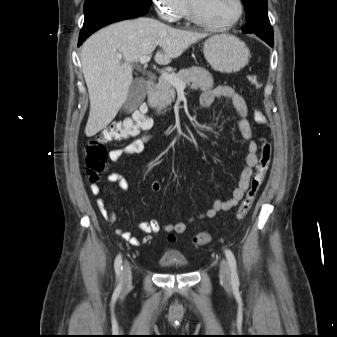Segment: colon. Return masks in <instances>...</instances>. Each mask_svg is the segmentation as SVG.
Here are the masks:
<instances>
[{
  "label": "colon",
  "mask_w": 337,
  "mask_h": 337,
  "mask_svg": "<svg viewBox=\"0 0 337 337\" xmlns=\"http://www.w3.org/2000/svg\"><path fill=\"white\" fill-rule=\"evenodd\" d=\"M251 86L260 89L261 80L256 75L249 77ZM149 116V117H148ZM145 114V111L139 112L134 118H126L114 122L109 128L104 129L97 135L91 137L85 146V165L89 180L97 183L99 175L104 169L108 158L106 144L120 142L137 136L141 130L151 126L150 118H154V113ZM253 120L258 126H264L267 123L266 117L260 108L253 110ZM260 151L258 162L255 166V172L250 179L249 187L236 212V219H243L250 211L258 191L264 181L271 160V145L265 138L259 139ZM170 240L174 239L173 235L169 236ZM212 240V235L208 232H199L194 236L193 242L196 246H202Z\"/></svg>",
  "instance_id": "5ec220e1"
}]
</instances>
